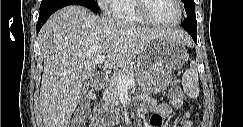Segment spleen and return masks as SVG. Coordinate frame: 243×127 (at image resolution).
I'll return each mask as SVG.
<instances>
[{
  "mask_svg": "<svg viewBox=\"0 0 243 127\" xmlns=\"http://www.w3.org/2000/svg\"><path fill=\"white\" fill-rule=\"evenodd\" d=\"M182 85L184 92L190 98H197L199 96V78L197 72V63L192 61L190 68L187 69L182 77Z\"/></svg>",
  "mask_w": 243,
  "mask_h": 127,
  "instance_id": "spleen-1",
  "label": "spleen"
}]
</instances>
